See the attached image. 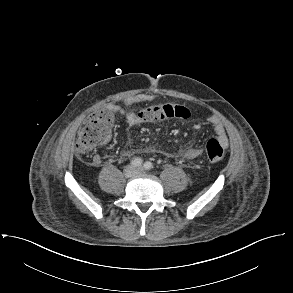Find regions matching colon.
I'll list each match as a JSON object with an SVG mask.
<instances>
[{
    "label": "colon",
    "instance_id": "1",
    "mask_svg": "<svg viewBox=\"0 0 293 293\" xmlns=\"http://www.w3.org/2000/svg\"><path fill=\"white\" fill-rule=\"evenodd\" d=\"M190 110L178 104H160L143 109L139 117L146 121L163 118H183L190 116ZM113 113L109 110H100L91 113L79 131L76 151L80 155L88 154L97 145L105 143L110 136L113 126ZM225 151L218 140L210 139L206 143V157L210 162H218L224 158Z\"/></svg>",
    "mask_w": 293,
    "mask_h": 293
}]
</instances>
